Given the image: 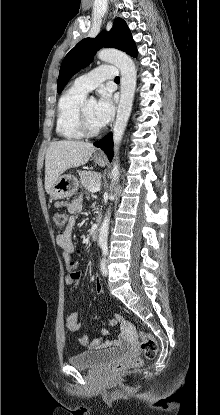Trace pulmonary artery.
I'll return each instance as SVG.
<instances>
[{"label": "pulmonary artery", "mask_w": 220, "mask_h": 415, "mask_svg": "<svg viewBox=\"0 0 220 415\" xmlns=\"http://www.w3.org/2000/svg\"><path fill=\"white\" fill-rule=\"evenodd\" d=\"M118 74V69L113 65H101L89 73L75 79L73 87L77 90L88 93L96 88L103 81L113 79Z\"/></svg>", "instance_id": "pulmonary-artery-1"}]
</instances>
